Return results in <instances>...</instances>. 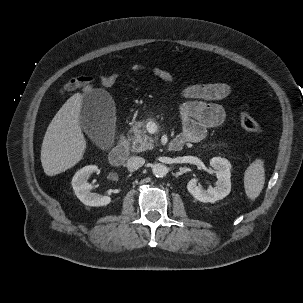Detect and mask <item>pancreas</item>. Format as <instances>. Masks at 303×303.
Returning <instances> with one entry per match:
<instances>
[{"mask_svg": "<svg viewBox=\"0 0 303 303\" xmlns=\"http://www.w3.org/2000/svg\"><path fill=\"white\" fill-rule=\"evenodd\" d=\"M128 136V141L131 143V151L141 152L147 149H153L156 138L148 136L145 130V124L141 121L136 122Z\"/></svg>", "mask_w": 303, "mask_h": 303, "instance_id": "1", "label": "pancreas"}]
</instances>
